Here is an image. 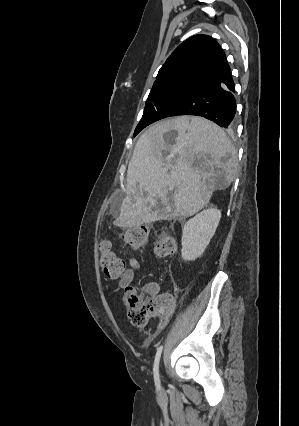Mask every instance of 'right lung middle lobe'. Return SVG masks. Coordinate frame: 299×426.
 I'll return each instance as SVG.
<instances>
[{"label": "right lung middle lobe", "instance_id": "obj_1", "mask_svg": "<svg viewBox=\"0 0 299 426\" xmlns=\"http://www.w3.org/2000/svg\"><path fill=\"white\" fill-rule=\"evenodd\" d=\"M196 87L187 83H168L152 87L146 101L142 119L135 129L134 136L149 124L158 121L162 113L169 106Z\"/></svg>", "mask_w": 299, "mask_h": 426}]
</instances>
